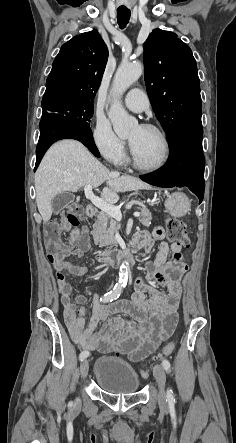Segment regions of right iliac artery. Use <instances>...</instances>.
Listing matches in <instances>:
<instances>
[{"label": "right iliac artery", "instance_id": "82829eb1", "mask_svg": "<svg viewBox=\"0 0 236 443\" xmlns=\"http://www.w3.org/2000/svg\"><path fill=\"white\" fill-rule=\"evenodd\" d=\"M121 292H122V286L116 285L110 292L106 293L103 297H101L100 301L103 303L112 302L113 300H116L120 296ZM88 355L89 352L84 350L80 353L79 359L82 361L83 359L88 357Z\"/></svg>", "mask_w": 236, "mask_h": 443}]
</instances>
